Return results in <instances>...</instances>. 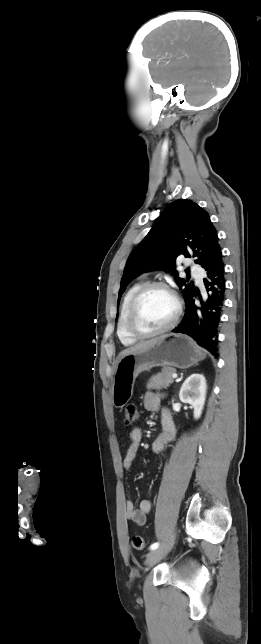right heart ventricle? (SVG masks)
Here are the masks:
<instances>
[{
  "label": "right heart ventricle",
  "mask_w": 261,
  "mask_h": 644,
  "mask_svg": "<svg viewBox=\"0 0 261 644\" xmlns=\"http://www.w3.org/2000/svg\"><path fill=\"white\" fill-rule=\"evenodd\" d=\"M143 284H144L143 280H140V281L134 283L133 285H131L128 288V290L126 291V293H125V295L123 297V301H122V304H121L120 313H119V317H118V322H117V335H118V338H119L120 342L125 346L133 345L137 341L136 339L132 338L128 334V332L126 330L125 322H126V316H127V312H128L130 302H131L133 296L135 295V293L138 291V289Z\"/></svg>",
  "instance_id": "obj_1"
}]
</instances>
